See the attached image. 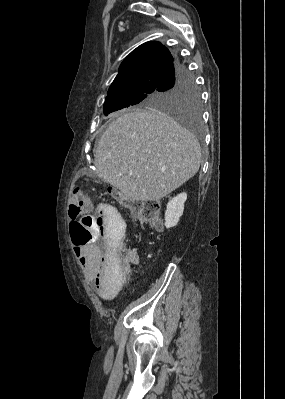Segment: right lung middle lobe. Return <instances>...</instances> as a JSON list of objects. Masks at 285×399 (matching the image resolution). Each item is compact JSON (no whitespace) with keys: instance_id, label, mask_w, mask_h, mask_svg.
I'll return each instance as SVG.
<instances>
[{"instance_id":"right-lung-middle-lobe-1","label":"right lung middle lobe","mask_w":285,"mask_h":399,"mask_svg":"<svg viewBox=\"0 0 285 399\" xmlns=\"http://www.w3.org/2000/svg\"><path fill=\"white\" fill-rule=\"evenodd\" d=\"M130 106L161 111L179 118L193 128H197L200 123V95L189 72H185L177 81L165 83L156 89L108 95L104 103V114Z\"/></svg>"}]
</instances>
